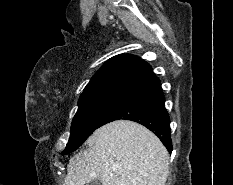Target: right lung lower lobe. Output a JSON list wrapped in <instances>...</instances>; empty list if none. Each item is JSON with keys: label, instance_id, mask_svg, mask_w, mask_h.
<instances>
[{"label": "right lung lower lobe", "instance_id": "right-lung-lower-lobe-1", "mask_svg": "<svg viewBox=\"0 0 233 185\" xmlns=\"http://www.w3.org/2000/svg\"><path fill=\"white\" fill-rule=\"evenodd\" d=\"M164 102L160 80L154 77L130 90L104 117L99 127L119 119L138 122L155 133L171 152L170 118Z\"/></svg>", "mask_w": 233, "mask_h": 185}]
</instances>
